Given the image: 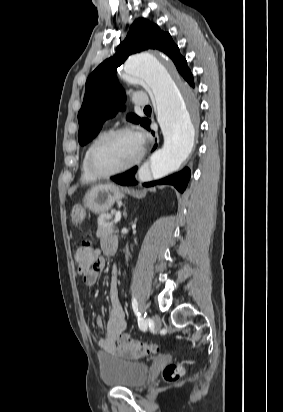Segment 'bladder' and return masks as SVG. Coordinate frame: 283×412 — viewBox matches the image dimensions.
Listing matches in <instances>:
<instances>
[{
	"label": "bladder",
	"mask_w": 283,
	"mask_h": 412,
	"mask_svg": "<svg viewBox=\"0 0 283 412\" xmlns=\"http://www.w3.org/2000/svg\"><path fill=\"white\" fill-rule=\"evenodd\" d=\"M99 372L107 387L135 390L146 383L149 367L139 361L102 357L99 360Z\"/></svg>",
	"instance_id": "1"
}]
</instances>
